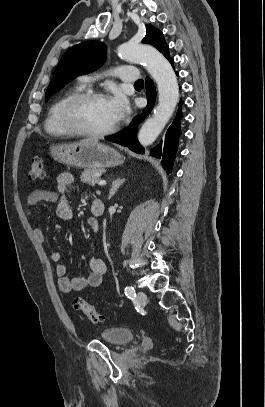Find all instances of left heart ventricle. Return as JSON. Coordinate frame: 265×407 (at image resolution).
<instances>
[{"label":"left heart ventricle","mask_w":265,"mask_h":407,"mask_svg":"<svg viewBox=\"0 0 265 407\" xmlns=\"http://www.w3.org/2000/svg\"><path fill=\"white\" fill-rule=\"evenodd\" d=\"M80 125L90 131H103L116 124L107 99L91 101L78 111Z\"/></svg>","instance_id":"left-heart-ventricle-1"}]
</instances>
